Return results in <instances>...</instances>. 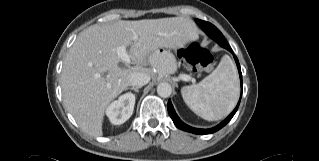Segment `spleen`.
<instances>
[{"mask_svg": "<svg viewBox=\"0 0 319 161\" xmlns=\"http://www.w3.org/2000/svg\"><path fill=\"white\" fill-rule=\"evenodd\" d=\"M186 105L198 116L215 121L229 114L239 96V82L233 61L225 55L217 68L198 84L181 88Z\"/></svg>", "mask_w": 319, "mask_h": 161, "instance_id": "obj_1", "label": "spleen"}]
</instances>
